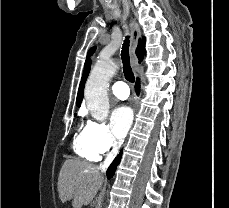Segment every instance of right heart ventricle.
Returning <instances> with one entry per match:
<instances>
[{
  "mask_svg": "<svg viewBox=\"0 0 229 208\" xmlns=\"http://www.w3.org/2000/svg\"><path fill=\"white\" fill-rule=\"evenodd\" d=\"M73 148L81 157H84L88 160H96L99 157V155L86 144L84 131L75 136Z\"/></svg>",
  "mask_w": 229,
  "mask_h": 208,
  "instance_id": "e07e8e85",
  "label": "right heart ventricle"
}]
</instances>
